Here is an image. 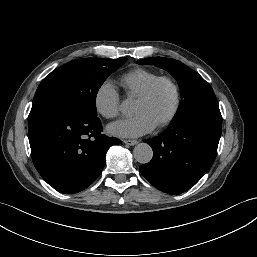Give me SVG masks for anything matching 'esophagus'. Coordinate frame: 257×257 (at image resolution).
Listing matches in <instances>:
<instances>
[{"instance_id": "obj_1", "label": "esophagus", "mask_w": 257, "mask_h": 257, "mask_svg": "<svg viewBox=\"0 0 257 257\" xmlns=\"http://www.w3.org/2000/svg\"><path fill=\"white\" fill-rule=\"evenodd\" d=\"M123 143L133 146V145H136L138 143V141L137 140H123Z\"/></svg>"}]
</instances>
